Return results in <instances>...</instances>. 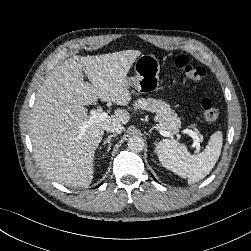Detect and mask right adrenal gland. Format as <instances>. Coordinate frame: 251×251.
I'll use <instances>...</instances> for the list:
<instances>
[{"label": "right adrenal gland", "instance_id": "2a0ac1e0", "mask_svg": "<svg viewBox=\"0 0 251 251\" xmlns=\"http://www.w3.org/2000/svg\"><path fill=\"white\" fill-rule=\"evenodd\" d=\"M116 136H117V134L109 135L108 138L105 139L104 142L102 143L103 146L108 144L107 152H109L111 149V139ZM100 149H102V147H100Z\"/></svg>", "mask_w": 251, "mask_h": 251}]
</instances>
